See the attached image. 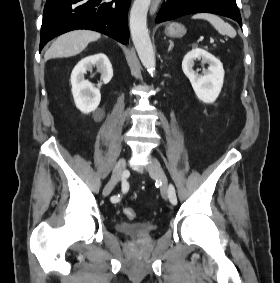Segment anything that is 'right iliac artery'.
Returning a JSON list of instances; mask_svg holds the SVG:
<instances>
[{
  "label": "right iliac artery",
  "mask_w": 280,
  "mask_h": 283,
  "mask_svg": "<svg viewBox=\"0 0 280 283\" xmlns=\"http://www.w3.org/2000/svg\"><path fill=\"white\" fill-rule=\"evenodd\" d=\"M127 187V183L125 180H122V189H123V192L125 190V188ZM121 199V196L118 194V195H114L111 197V202L112 203H118Z\"/></svg>",
  "instance_id": "obj_1"
}]
</instances>
